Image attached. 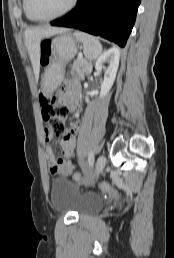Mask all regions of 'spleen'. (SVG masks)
<instances>
[{
	"label": "spleen",
	"instance_id": "obj_1",
	"mask_svg": "<svg viewBox=\"0 0 174 258\" xmlns=\"http://www.w3.org/2000/svg\"><path fill=\"white\" fill-rule=\"evenodd\" d=\"M74 36L83 43V52L88 60H95L101 55L102 45L96 37L81 31H75Z\"/></svg>",
	"mask_w": 174,
	"mask_h": 258
}]
</instances>
